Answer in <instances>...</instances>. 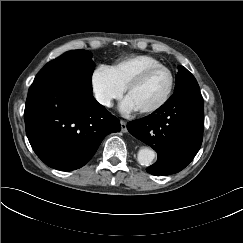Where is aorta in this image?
Masks as SVG:
<instances>
[{"label":"aorta","mask_w":243,"mask_h":243,"mask_svg":"<svg viewBox=\"0 0 243 243\" xmlns=\"http://www.w3.org/2000/svg\"><path fill=\"white\" fill-rule=\"evenodd\" d=\"M155 158V152L149 148H142L138 152L137 161L142 166H149Z\"/></svg>","instance_id":"aorta-1"}]
</instances>
